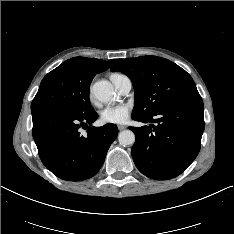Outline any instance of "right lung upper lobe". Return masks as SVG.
I'll return each instance as SVG.
<instances>
[{"label": "right lung upper lobe", "instance_id": "right-lung-upper-lobe-1", "mask_svg": "<svg viewBox=\"0 0 234 234\" xmlns=\"http://www.w3.org/2000/svg\"><path fill=\"white\" fill-rule=\"evenodd\" d=\"M113 61L114 59L104 61L95 58L74 57L64 63L71 66L81 76L93 79L96 74L107 70Z\"/></svg>", "mask_w": 234, "mask_h": 234}]
</instances>
